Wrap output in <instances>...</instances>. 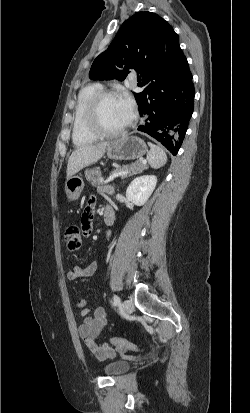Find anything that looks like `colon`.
<instances>
[{"mask_svg":"<svg viewBox=\"0 0 250 413\" xmlns=\"http://www.w3.org/2000/svg\"><path fill=\"white\" fill-rule=\"evenodd\" d=\"M65 242L70 251H77L81 248L82 237L80 229L76 225H69L65 230ZM109 344L115 346L122 353L128 351H141L142 348L122 338H111Z\"/></svg>","mask_w":250,"mask_h":413,"instance_id":"obj_1","label":"colon"}]
</instances>
